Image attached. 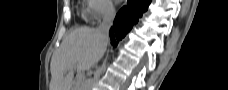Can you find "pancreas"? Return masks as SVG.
<instances>
[{"mask_svg": "<svg viewBox=\"0 0 228 90\" xmlns=\"http://www.w3.org/2000/svg\"><path fill=\"white\" fill-rule=\"evenodd\" d=\"M82 80L81 79H77L76 82H75V89L76 90H81L82 88Z\"/></svg>", "mask_w": 228, "mask_h": 90, "instance_id": "pancreas-1", "label": "pancreas"}]
</instances>
